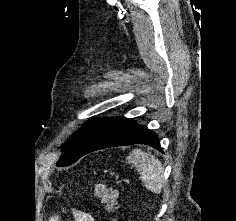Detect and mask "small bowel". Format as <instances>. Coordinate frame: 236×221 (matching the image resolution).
<instances>
[{
  "instance_id": "obj_1",
  "label": "small bowel",
  "mask_w": 236,
  "mask_h": 221,
  "mask_svg": "<svg viewBox=\"0 0 236 221\" xmlns=\"http://www.w3.org/2000/svg\"><path fill=\"white\" fill-rule=\"evenodd\" d=\"M71 213L74 217V221H95L94 217L92 214H90L87 211L79 210L72 208ZM49 221H60V216L59 214H54Z\"/></svg>"
}]
</instances>
